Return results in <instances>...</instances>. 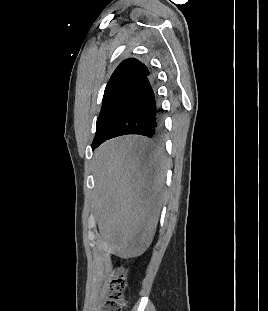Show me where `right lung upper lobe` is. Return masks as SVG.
I'll use <instances>...</instances> for the list:
<instances>
[{
    "mask_svg": "<svg viewBox=\"0 0 268 311\" xmlns=\"http://www.w3.org/2000/svg\"><path fill=\"white\" fill-rule=\"evenodd\" d=\"M149 74L148 68L135 58L124 60L116 68L104 91V95L126 85H136Z\"/></svg>",
    "mask_w": 268,
    "mask_h": 311,
    "instance_id": "right-lung-upper-lobe-1",
    "label": "right lung upper lobe"
}]
</instances>
